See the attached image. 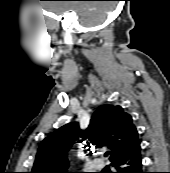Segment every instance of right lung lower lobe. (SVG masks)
I'll return each instance as SVG.
<instances>
[{"label": "right lung lower lobe", "instance_id": "98d812e1", "mask_svg": "<svg viewBox=\"0 0 170 173\" xmlns=\"http://www.w3.org/2000/svg\"><path fill=\"white\" fill-rule=\"evenodd\" d=\"M140 143L111 160L112 165L116 169V173H144L142 171Z\"/></svg>", "mask_w": 170, "mask_h": 173}]
</instances>
